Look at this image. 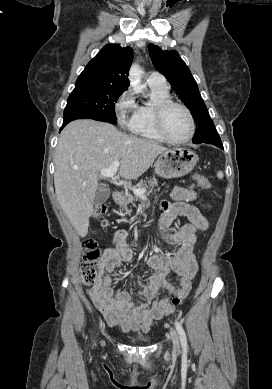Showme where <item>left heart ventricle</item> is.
<instances>
[{
	"label": "left heart ventricle",
	"mask_w": 272,
	"mask_h": 389,
	"mask_svg": "<svg viewBox=\"0 0 272 389\" xmlns=\"http://www.w3.org/2000/svg\"><path fill=\"white\" fill-rule=\"evenodd\" d=\"M166 132L175 139L185 138L190 132V122L185 111L177 106L170 107L164 116Z\"/></svg>",
	"instance_id": "1"
}]
</instances>
